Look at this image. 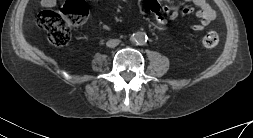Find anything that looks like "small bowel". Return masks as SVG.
I'll return each mask as SVG.
<instances>
[{"label":"small bowel","mask_w":253,"mask_h":138,"mask_svg":"<svg viewBox=\"0 0 253 138\" xmlns=\"http://www.w3.org/2000/svg\"><path fill=\"white\" fill-rule=\"evenodd\" d=\"M194 4L198 11L196 17L199 22L192 26L194 31H202L210 24L215 18V12L211 9L206 0H186ZM44 7H53L56 4V0H41ZM146 5L150 11L154 14L156 22L160 26H165L168 20L176 19L180 14L182 16H188L193 12V8L190 6H184L180 9L178 5L166 4L160 6L158 0H145Z\"/></svg>","instance_id":"small-bowel-1"}]
</instances>
